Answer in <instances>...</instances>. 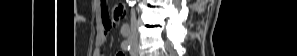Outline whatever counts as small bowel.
I'll return each mask as SVG.
<instances>
[{"label": "small bowel", "instance_id": "c3829d8e", "mask_svg": "<svg viewBox=\"0 0 297 56\" xmlns=\"http://www.w3.org/2000/svg\"><path fill=\"white\" fill-rule=\"evenodd\" d=\"M98 11L100 14L101 23L99 26V31L96 39L97 49L95 51V56H101L100 48L104 45L107 39V34L110 30L115 28L120 20L125 15V9L122 5H118L113 10L112 14L109 12L108 6L104 1L98 2ZM117 56H124L123 53H118Z\"/></svg>", "mask_w": 297, "mask_h": 56}]
</instances>
